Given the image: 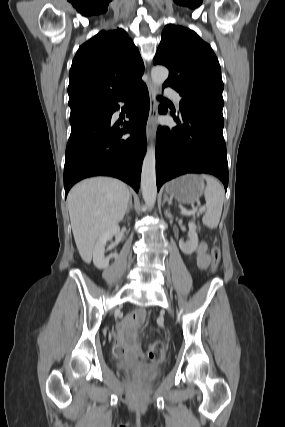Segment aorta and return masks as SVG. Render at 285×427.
I'll return each mask as SVG.
<instances>
[{"instance_id": "1", "label": "aorta", "mask_w": 285, "mask_h": 427, "mask_svg": "<svg viewBox=\"0 0 285 427\" xmlns=\"http://www.w3.org/2000/svg\"><path fill=\"white\" fill-rule=\"evenodd\" d=\"M168 69L164 66H155L151 70V78L156 86H161L168 78ZM156 157L155 147L147 149L143 160L141 173V190L144 202L148 206H153L156 202Z\"/></svg>"}]
</instances>
